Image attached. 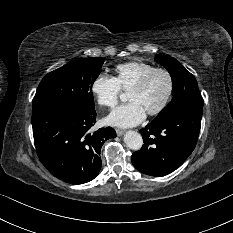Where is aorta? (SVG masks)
<instances>
[{
	"label": "aorta",
	"mask_w": 233,
	"mask_h": 233,
	"mask_svg": "<svg viewBox=\"0 0 233 233\" xmlns=\"http://www.w3.org/2000/svg\"><path fill=\"white\" fill-rule=\"evenodd\" d=\"M120 99L125 100V94H120ZM124 142L126 146L132 150H140L143 145V139L141 134L136 131H128L124 136Z\"/></svg>",
	"instance_id": "obj_1"
}]
</instances>
